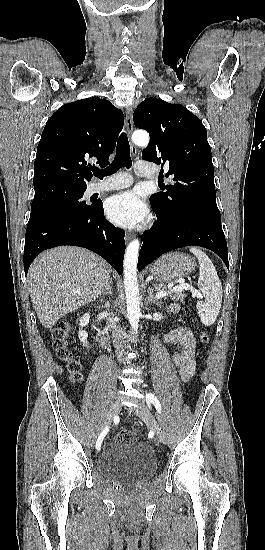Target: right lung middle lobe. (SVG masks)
Wrapping results in <instances>:
<instances>
[{
  "mask_svg": "<svg viewBox=\"0 0 265 550\" xmlns=\"http://www.w3.org/2000/svg\"><path fill=\"white\" fill-rule=\"evenodd\" d=\"M86 189H75L63 185H47L35 188L31 204V215L56 210H83L89 208L81 201Z\"/></svg>",
  "mask_w": 265,
  "mask_h": 550,
  "instance_id": "1",
  "label": "right lung middle lobe"
}]
</instances>
